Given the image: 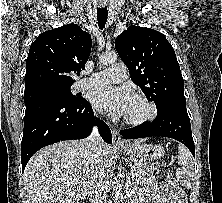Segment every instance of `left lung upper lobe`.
I'll return each mask as SVG.
<instances>
[{"label":"left lung upper lobe","instance_id":"5c2ea615","mask_svg":"<svg viewBox=\"0 0 222 203\" xmlns=\"http://www.w3.org/2000/svg\"><path fill=\"white\" fill-rule=\"evenodd\" d=\"M115 48L131 80L157 109L173 101L186 103L180 66L164 34L131 25L116 38Z\"/></svg>","mask_w":222,"mask_h":203}]
</instances>
